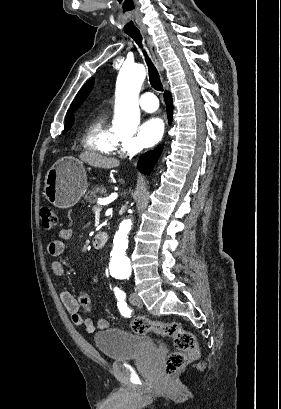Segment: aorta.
<instances>
[{
  "mask_svg": "<svg viewBox=\"0 0 281 409\" xmlns=\"http://www.w3.org/2000/svg\"><path fill=\"white\" fill-rule=\"evenodd\" d=\"M146 72L142 64H124L119 72L116 88L113 129L120 133L135 132L140 122L138 95ZM130 219L124 220L120 231L127 233L131 228Z\"/></svg>",
  "mask_w": 281,
  "mask_h": 409,
  "instance_id": "obj_1",
  "label": "aorta"
}]
</instances>
